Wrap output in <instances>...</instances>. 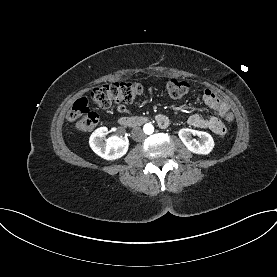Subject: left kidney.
Listing matches in <instances>:
<instances>
[{
  "instance_id": "1",
  "label": "left kidney",
  "mask_w": 277,
  "mask_h": 277,
  "mask_svg": "<svg viewBox=\"0 0 277 277\" xmlns=\"http://www.w3.org/2000/svg\"><path fill=\"white\" fill-rule=\"evenodd\" d=\"M192 134L199 136L201 140L196 141L191 139ZM178 135L186 148L192 153L207 155L214 148V140L207 132L183 128L179 131Z\"/></svg>"
}]
</instances>
